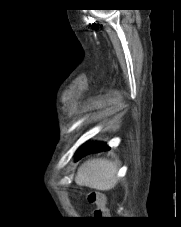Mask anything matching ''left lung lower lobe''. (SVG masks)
Listing matches in <instances>:
<instances>
[{
  "label": "left lung lower lobe",
  "instance_id": "left-lung-lower-lobe-1",
  "mask_svg": "<svg viewBox=\"0 0 181 227\" xmlns=\"http://www.w3.org/2000/svg\"><path fill=\"white\" fill-rule=\"evenodd\" d=\"M108 147L105 143H86V145H82L79 150L77 151V159H80L81 157L95 152H100L103 150H107Z\"/></svg>",
  "mask_w": 181,
  "mask_h": 227
}]
</instances>
